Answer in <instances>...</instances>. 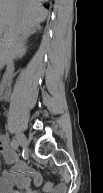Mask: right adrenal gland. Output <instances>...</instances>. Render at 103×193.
Wrapping results in <instances>:
<instances>
[{
  "label": "right adrenal gland",
  "mask_w": 103,
  "mask_h": 193,
  "mask_svg": "<svg viewBox=\"0 0 103 193\" xmlns=\"http://www.w3.org/2000/svg\"><path fill=\"white\" fill-rule=\"evenodd\" d=\"M26 37H28V33H27V34H25L24 39H25Z\"/></svg>",
  "instance_id": "1"
}]
</instances>
